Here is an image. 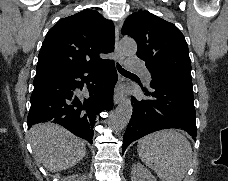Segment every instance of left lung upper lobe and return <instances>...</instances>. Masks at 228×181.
I'll use <instances>...</instances> for the list:
<instances>
[{
    "instance_id": "5c2ea615",
    "label": "left lung upper lobe",
    "mask_w": 228,
    "mask_h": 181,
    "mask_svg": "<svg viewBox=\"0 0 228 181\" xmlns=\"http://www.w3.org/2000/svg\"><path fill=\"white\" fill-rule=\"evenodd\" d=\"M122 34L136 41L137 56L146 62L150 73L192 85L188 46L174 24L148 11H138L126 19Z\"/></svg>"
}]
</instances>
